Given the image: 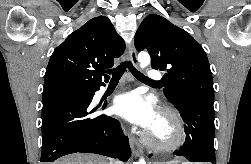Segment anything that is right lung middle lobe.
Here are the masks:
<instances>
[{"instance_id":"right-lung-middle-lobe-1","label":"right lung middle lobe","mask_w":251,"mask_h":164,"mask_svg":"<svg viewBox=\"0 0 251 164\" xmlns=\"http://www.w3.org/2000/svg\"><path fill=\"white\" fill-rule=\"evenodd\" d=\"M93 95V91L80 88H58L43 93L42 103L57 99H85Z\"/></svg>"}]
</instances>
